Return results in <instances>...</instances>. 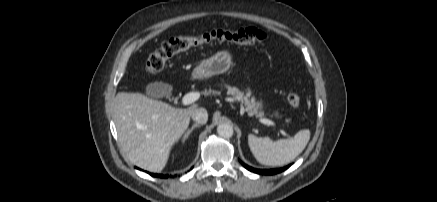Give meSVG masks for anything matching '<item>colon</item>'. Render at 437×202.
I'll return each mask as SVG.
<instances>
[{
	"instance_id": "colon-1",
	"label": "colon",
	"mask_w": 437,
	"mask_h": 202,
	"mask_svg": "<svg viewBox=\"0 0 437 202\" xmlns=\"http://www.w3.org/2000/svg\"><path fill=\"white\" fill-rule=\"evenodd\" d=\"M267 36L261 30L253 27L238 30L213 29L196 36H179L169 39L153 52L145 63V70L148 75H155L161 72L168 60L174 55L190 48L209 43H232L239 45H250L262 43ZM289 105L296 108L300 105L301 98L298 93L290 92L287 95Z\"/></svg>"
}]
</instances>
